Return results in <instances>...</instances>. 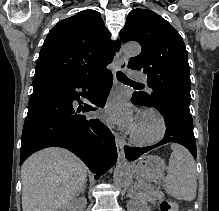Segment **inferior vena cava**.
Masks as SVG:
<instances>
[{
  "instance_id": "obj_1",
  "label": "inferior vena cava",
  "mask_w": 219,
  "mask_h": 211,
  "mask_svg": "<svg viewBox=\"0 0 219 211\" xmlns=\"http://www.w3.org/2000/svg\"><path fill=\"white\" fill-rule=\"evenodd\" d=\"M90 177L93 179L95 176L92 174Z\"/></svg>"
}]
</instances>
